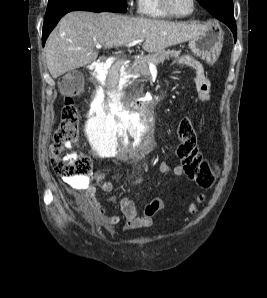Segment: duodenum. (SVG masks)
<instances>
[{
	"mask_svg": "<svg viewBox=\"0 0 267 298\" xmlns=\"http://www.w3.org/2000/svg\"><path fill=\"white\" fill-rule=\"evenodd\" d=\"M117 66L118 67H112V75H110L109 82H106V87L114 89L115 92H120L121 89L125 88L121 79L129 78V75L125 72L127 61L120 60ZM122 97L132 98V105H136V107H129L130 115H156V104H152L155 103V98H147L146 100V93H123ZM116 101L120 102L121 105L127 104V101L121 100L120 97H117Z\"/></svg>",
	"mask_w": 267,
	"mask_h": 298,
	"instance_id": "1",
	"label": "duodenum"
}]
</instances>
